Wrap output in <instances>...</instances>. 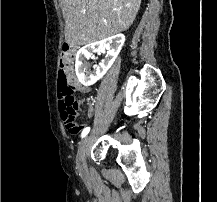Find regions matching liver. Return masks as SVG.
I'll return each instance as SVG.
<instances>
[{"mask_svg": "<svg viewBox=\"0 0 217 202\" xmlns=\"http://www.w3.org/2000/svg\"><path fill=\"white\" fill-rule=\"evenodd\" d=\"M65 18V42L85 46L99 42L133 24L141 0H59Z\"/></svg>", "mask_w": 217, "mask_h": 202, "instance_id": "liver-1", "label": "liver"}]
</instances>
